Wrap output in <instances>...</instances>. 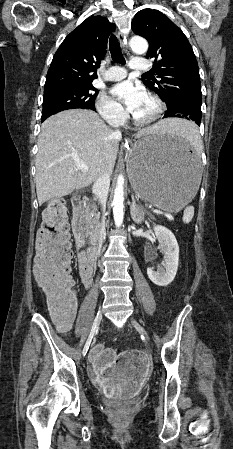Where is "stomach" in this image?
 Segmentation results:
<instances>
[{
	"instance_id": "obj_1",
	"label": "stomach",
	"mask_w": 233,
	"mask_h": 449,
	"mask_svg": "<svg viewBox=\"0 0 233 449\" xmlns=\"http://www.w3.org/2000/svg\"><path fill=\"white\" fill-rule=\"evenodd\" d=\"M127 172L139 198L176 212L195 201L201 163L194 148L174 133H152L132 145Z\"/></svg>"
}]
</instances>
